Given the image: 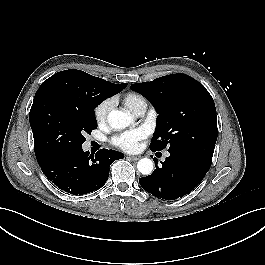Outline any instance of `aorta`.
<instances>
[{"label": "aorta", "instance_id": "762f6f07", "mask_svg": "<svg viewBox=\"0 0 265 265\" xmlns=\"http://www.w3.org/2000/svg\"><path fill=\"white\" fill-rule=\"evenodd\" d=\"M133 118L129 112L112 110L108 114V124L114 129H124L128 127ZM138 171L143 175H150L153 171V162L148 158H142L137 163Z\"/></svg>", "mask_w": 265, "mask_h": 265}]
</instances>
